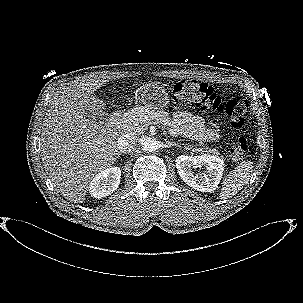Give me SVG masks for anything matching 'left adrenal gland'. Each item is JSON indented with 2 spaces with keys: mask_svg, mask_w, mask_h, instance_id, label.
<instances>
[{
  "mask_svg": "<svg viewBox=\"0 0 303 303\" xmlns=\"http://www.w3.org/2000/svg\"><path fill=\"white\" fill-rule=\"evenodd\" d=\"M165 141H166V144L168 145V147H172V146L181 147L178 144H176L175 142H171V141L166 140V139H165Z\"/></svg>",
  "mask_w": 303,
  "mask_h": 303,
  "instance_id": "1",
  "label": "left adrenal gland"
}]
</instances>
